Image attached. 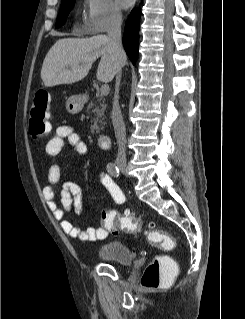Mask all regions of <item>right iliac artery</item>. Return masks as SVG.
<instances>
[{"instance_id": "right-iliac-artery-1", "label": "right iliac artery", "mask_w": 245, "mask_h": 319, "mask_svg": "<svg viewBox=\"0 0 245 319\" xmlns=\"http://www.w3.org/2000/svg\"><path fill=\"white\" fill-rule=\"evenodd\" d=\"M107 171L109 172V174H110L111 176H114V177H116V178H118V177L120 176L119 169H118V167H117L114 163H109V164L107 165ZM115 187H116V189H117L116 192H115V195H118V196H119V198H116L115 200H116L118 203H119V202H124L125 197H124L122 191L119 189L118 186L115 185Z\"/></svg>"}]
</instances>
